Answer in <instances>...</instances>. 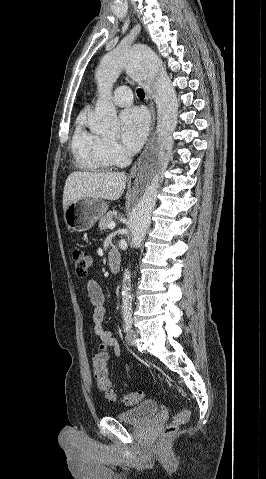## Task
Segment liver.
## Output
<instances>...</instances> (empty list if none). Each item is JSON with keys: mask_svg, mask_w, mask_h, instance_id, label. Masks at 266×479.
Returning a JSON list of instances; mask_svg holds the SVG:
<instances>
[{"mask_svg": "<svg viewBox=\"0 0 266 479\" xmlns=\"http://www.w3.org/2000/svg\"><path fill=\"white\" fill-rule=\"evenodd\" d=\"M124 172H72L64 186L63 210L82 198L117 200L126 187Z\"/></svg>", "mask_w": 266, "mask_h": 479, "instance_id": "obj_1", "label": "liver"}]
</instances>
